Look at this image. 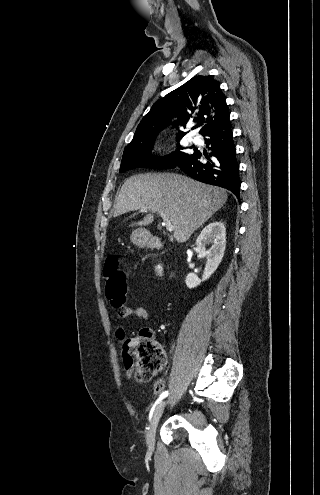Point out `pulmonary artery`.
I'll use <instances>...</instances> for the list:
<instances>
[{"instance_id": "pulmonary-artery-1", "label": "pulmonary artery", "mask_w": 320, "mask_h": 495, "mask_svg": "<svg viewBox=\"0 0 320 495\" xmlns=\"http://www.w3.org/2000/svg\"><path fill=\"white\" fill-rule=\"evenodd\" d=\"M192 141H193L194 143H199V142H200V138H198V137H194V138H192Z\"/></svg>"}]
</instances>
